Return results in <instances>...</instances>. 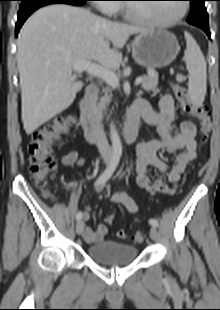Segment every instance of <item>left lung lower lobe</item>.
I'll return each instance as SVG.
<instances>
[{"label": "left lung lower lobe", "mask_w": 220, "mask_h": 310, "mask_svg": "<svg viewBox=\"0 0 220 310\" xmlns=\"http://www.w3.org/2000/svg\"><path fill=\"white\" fill-rule=\"evenodd\" d=\"M202 30H204L206 32V34L208 35V37L210 38V32H209V27H199Z\"/></svg>", "instance_id": "0a47b994"}]
</instances>
